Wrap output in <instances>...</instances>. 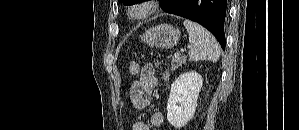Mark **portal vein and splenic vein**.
I'll list each match as a JSON object with an SVG mask.
<instances>
[{"label": "portal vein and splenic vein", "instance_id": "obj_1", "mask_svg": "<svg viewBox=\"0 0 299 130\" xmlns=\"http://www.w3.org/2000/svg\"><path fill=\"white\" fill-rule=\"evenodd\" d=\"M175 56H177V57H178V56H180V54H179V53H175Z\"/></svg>", "mask_w": 299, "mask_h": 130}]
</instances>
